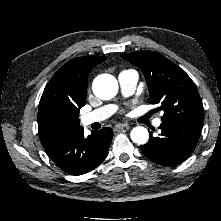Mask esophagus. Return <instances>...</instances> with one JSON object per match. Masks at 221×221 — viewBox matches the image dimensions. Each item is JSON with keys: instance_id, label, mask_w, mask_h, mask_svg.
Segmentation results:
<instances>
[{"instance_id": "34e87169", "label": "esophagus", "mask_w": 221, "mask_h": 221, "mask_svg": "<svg viewBox=\"0 0 221 221\" xmlns=\"http://www.w3.org/2000/svg\"><path fill=\"white\" fill-rule=\"evenodd\" d=\"M130 125L128 123H119L115 126L116 130L124 129V128H129Z\"/></svg>"}]
</instances>
